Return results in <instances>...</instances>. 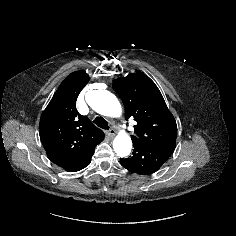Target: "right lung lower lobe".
<instances>
[{
	"label": "right lung lower lobe",
	"instance_id": "98d812e1",
	"mask_svg": "<svg viewBox=\"0 0 236 236\" xmlns=\"http://www.w3.org/2000/svg\"><path fill=\"white\" fill-rule=\"evenodd\" d=\"M95 147L89 149L79 157L72 159L64 164L59 165L64 170L68 172H76L82 170L83 168L87 167L91 162V157L94 153Z\"/></svg>",
	"mask_w": 236,
	"mask_h": 236
}]
</instances>
